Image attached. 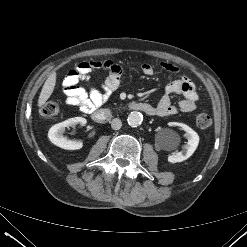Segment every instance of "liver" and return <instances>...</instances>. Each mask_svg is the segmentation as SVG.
<instances>
[{
    "label": "liver",
    "mask_w": 247,
    "mask_h": 247,
    "mask_svg": "<svg viewBox=\"0 0 247 247\" xmlns=\"http://www.w3.org/2000/svg\"><path fill=\"white\" fill-rule=\"evenodd\" d=\"M56 84V73L53 72L45 81L39 99H38V106L41 107L43 106L46 101L49 99L51 94L53 93V90L55 88Z\"/></svg>",
    "instance_id": "1"
}]
</instances>
